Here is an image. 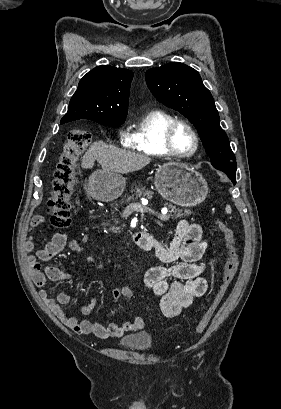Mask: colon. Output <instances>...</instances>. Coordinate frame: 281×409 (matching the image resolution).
I'll list each match as a JSON object with an SVG mask.
<instances>
[{"mask_svg": "<svg viewBox=\"0 0 281 409\" xmlns=\"http://www.w3.org/2000/svg\"><path fill=\"white\" fill-rule=\"evenodd\" d=\"M90 141L91 135L85 129L75 128L67 134L64 149L58 157L52 197L48 202L47 211L52 228H65L70 222L74 189L78 181L76 160L84 153ZM217 225L225 241L227 257L218 288L205 312L196 322V333L204 331L213 319L234 280L239 262V249L233 230L221 220Z\"/></svg>", "mask_w": 281, "mask_h": 409, "instance_id": "colon-1", "label": "colon"}]
</instances>
